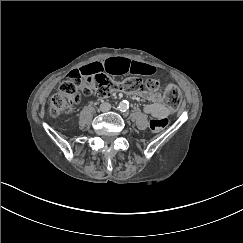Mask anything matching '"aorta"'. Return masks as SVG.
<instances>
[{"mask_svg": "<svg viewBox=\"0 0 243 243\" xmlns=\"http://www.w3.org/2000/svg\"><path fill=\"white\" fill-rule=\"evenodd\" d=\"M118 108H119L120 111H125V110H127L128 105H127L126 102L123 101V102H120V103H119Z\"/></svg>", "mask_w": 243, "mask_h": 243, "instance_id": "obj_1", "label": "aorta"}]
</instances>
